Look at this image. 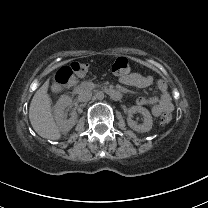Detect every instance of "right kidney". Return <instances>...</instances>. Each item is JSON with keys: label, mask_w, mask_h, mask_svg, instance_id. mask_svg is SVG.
<instances>
[{"label": "right kidney", "mask_w": 208, "mask_h": 208, "mask_svg": "<svg viewBox=\"0 0 208 208\" xmlns=\"http://www.w3.org/2000/svg\"><path fill=\"white\" fill-rule=\"evenodd\" d=\"M72 106V99L67 95H62L53 108V114L59 130L63 133L68 132L77 122L76 111L71 112V117L66 118L65 109Z\"/></svg>", "instance_id": "ca27d5eb"}]
</instances>
